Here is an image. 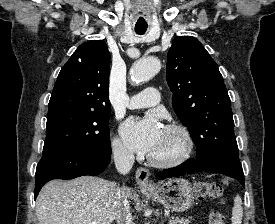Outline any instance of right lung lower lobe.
Wrapping results in <instances>:
<instances>
[{
  "mask_svg": "<svg viewBox=\"0 0 275 224\" xmlns=\"http://www.w3.org/2000/svg\"><path fill=\"white\" fill-rule=\"evenodd\" d=\"M110 158V142L95 148L43 153L36 168L35 198L42 186L52 179L66 180L102 173L109 164Z\"/></svg>",
  "mask_w": 275,
  "mask_h": 224,
  "instance_id": "right-lung-lower-lobe-1",
  "label": "right lung lower lobe"
}]
</instances>
